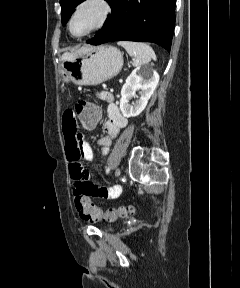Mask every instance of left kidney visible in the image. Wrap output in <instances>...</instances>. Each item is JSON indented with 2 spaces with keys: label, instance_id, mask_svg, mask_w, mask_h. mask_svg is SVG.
<instances>
[{
  "label": "left kidney",
  "instance_id": "left-kidney-1",
  "mask_svg": "<svg viewBox=\"0 0 240 288\" xmlns=\"http://www.w3.org/2000/svg\"><path fill=\"white\" fill-rule=\"evenodd\" d=\"M158 82L157 71L150 67L134 69L121 89L120 110L123 116L127 118L138 116L145 109ZM136 91H139L140 97L135 103L130 104V100L136 97Z\"/></svg>",
  "mask_w": 240,
  "mask_h": 288
}]
</instances>
